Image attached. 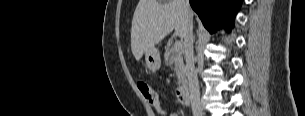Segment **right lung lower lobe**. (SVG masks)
I'll return each mask as SVG.
<instances>
[{
    "instance_id": "1",
    "label": "right lung lower lobe",
    "mask_w": 305,
    "mask_h": 116,
    "mask_svg": "<svg viewBox=\"0 0 305 116\" xmlns=\"http://www.w3.org/2000/svg\"><path fill=\"white\" fill-rule=\"evenodd\" d=\"M242 0H190V5L198 14L203 25L211 32L218 27L230 30L233 19Z\"/></svg>"
}]
</instances>
